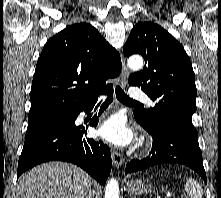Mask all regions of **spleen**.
<instances>
[{
	"label": "spleen",
	"instance_id": "1",
	"mask_svg": "<svg viewBox=\"0 0 221 198\" xmlns=\"http://www.w3.org/2000/svg\"><path fill=\"white\" fill-rule=\"evenodd\" d=\"M184 188L191 198H202L203 196V189L201 185L192 178L186 179Z\"/></svg>",
	"mask_w": 221,
	"mask_h": 198
}]
</instances>
